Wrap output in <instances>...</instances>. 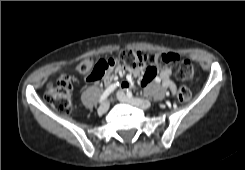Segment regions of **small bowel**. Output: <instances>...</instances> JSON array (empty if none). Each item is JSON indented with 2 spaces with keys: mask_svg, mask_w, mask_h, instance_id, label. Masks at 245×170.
<instances>
[{
  "mask_svg": "<svg viewBox=\"0 0 245 170\" xmlns=\"http://www.w3.org/2000/svg\"><path fill=\"white\" fill-rule=\"evenodd\" d=\"M126 73L125 69L122 67H117L114 70L108 71L104 76L105 84H111L117 76H123ZM140 74L139 70H135L130 72L126 81H124L121 86L123 88H128L132 85L131 75L138 76ZM152 79V73L146 70L141 78V85L147 86ZM159 81L162 86L172 95L175 96L177 94V86L172 79V70L169 67H165L161 70L159 75Z\"/></svg>",
  "mask_w": 245,
  "mask_h": 170,
  "instance_id": "obj_1",
  "label": "small bowel"
}]
</instances>
